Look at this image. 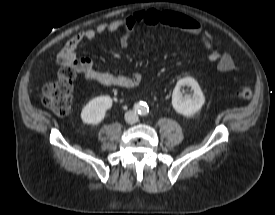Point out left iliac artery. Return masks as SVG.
<instances>
[{
  "label": "left iliac artery",
  "mask_w": 275,
  "mask_h": 215,
  "mask_svg": "<svg viewBox=\"0 0 275 215\" xmlns=\"http://www.w3.org/2000/svg\"><path fill=\"white\" fill-rule=\"evenodd\" d=\"M148 112H149L148 107H144L143 110H142V115L146 116L148 114Z\"/></svg>",
  "instance_id": "obj_1"
}]
</instances>
